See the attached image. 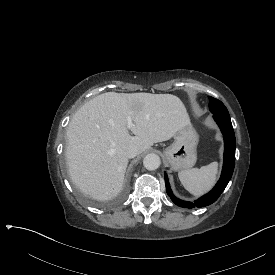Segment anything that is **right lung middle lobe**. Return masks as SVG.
<instances>
[{"label":"right lung middle lobe","mask_w":275,"mask_h":275,"mask_svg":"<svg viewBox=\"0 0 275 275\" xmlns=\"http://www.w3.org/2000/svg\"><path fill=\"white\" fill-rule=\"evenodd\" d=\"M62 159H63V167L65 170V173L67 176L70 178L72 181L73 185H70V188H75L74 196L77 198L83 200L84 203H86L88 206L92 208H107L108 206H119L122 203L121 198H124L126 195V192L128 190V185L130 184V180L126 179L124 182V186L122 189V192L119 194V196H116L112 201H108L107 203H102L100 200H95L89 197V195L83 194L82 190L80 187H78V182L75 180L74 175L70 172L69 167H68V160H67V147L63 146L62 147Z\"/></svg>","instance_id":"obj_1"}]
</instances>
